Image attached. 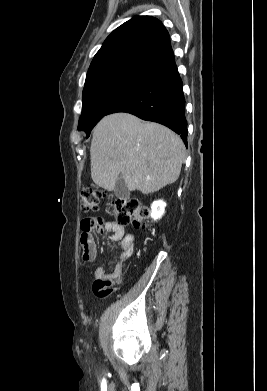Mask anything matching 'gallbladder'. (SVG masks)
<instances>
[{
    "instance_id": "gallbladder-1",
    "label": "gallbladder",
    "mask_w": 267,
    "mask_h": 391,
    "mask_svg": "<svg viewBox=\"0 0 267 391\" xmlns=\"http://www.w3.org/2000/svg\"><path fill=\"white\" fill-rule=\"evenodd\" d=\"M114 193L116 197L121 200H127L129 198L130 192L126 186L124 179L121 176L115 184Z\"/></svg>"
}]
</instances>
